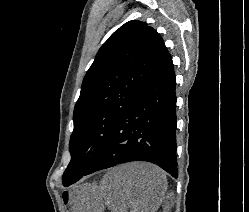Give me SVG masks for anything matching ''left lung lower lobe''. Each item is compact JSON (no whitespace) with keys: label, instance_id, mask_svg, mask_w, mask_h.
<instances>
[{"label":"left lung lower lobe","instance_id":"1","mask_svg":"<svg viewBox=\"0 0 249 212\" xmlns=\"http://www.w3.org/2000/svg\"><path fill=\"white\" fill-rule=\"evenodd\" d=\"M175 87L169 54L126 108L99 158L85 175L119 163L147 161L176 178Z\"/></svg>","mask_w":249,"mask_h":212}]
</instances>
